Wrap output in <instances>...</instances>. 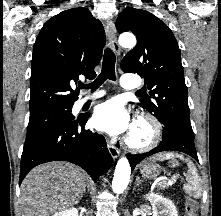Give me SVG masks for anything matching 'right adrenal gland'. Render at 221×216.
<instances>
[{
    "instance_id": "1",
    "label": "right adrenal gland",
    "mask_w": 221,
    "mask_h": 216,
    "mask_svg": "<svg viewBox=\"0 0 221 216\" xmlns=\"http://www.w3.org/2000/svg\"><path fill=\"white\" fill-rule=\"evenodd\" d=\"M87 191H90L89 186H87ZM85 193V192H84Z\"/></svg>"
}]
</instances>
